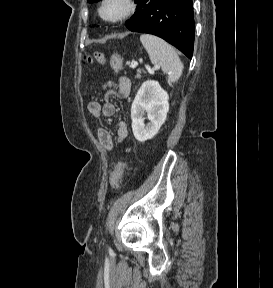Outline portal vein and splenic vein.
Wrapping results in <instances>:
<instances>
[{
    "mask_svg": "<svg viewBox=\"0 0 273 288\" xmlns=\"http://www.w3.org/2000/svg\"><path fill=\"white\" fill-rule=\"evenodd\" d=\"M138 66V63L136 62V61H132V63H131V67L132 68H135V67H137ZM160 67L158 66V65H155L152 69H148V71L150 72V73H154V71L155 70H157V69H159Z\"/></svg>",
    "mask_w": 273,
    "mask_h": 288,
    "instance_id": "portal-vein-and-splenic-vein-1",
    "label": "portal vein and splenic vein"
}]
</instances>
